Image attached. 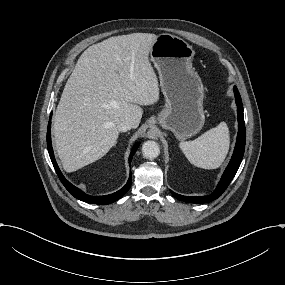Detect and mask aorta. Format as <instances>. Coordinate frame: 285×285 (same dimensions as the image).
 <instances>
[{"instance_id":"1","label":"aorta","mask_w":285,"mask_h":285,"mask_svg":"<svg viewBox=\"0 0 285 285\" xmlns=\"http://www.w3.org/2000/svg\"><path fill=\"white\" fill-rule=\"evenodd\" d=\"M143 156L147 159H155L160 154V148L155 141H146L142 146Z\"/></svg>"}]
</instances>
